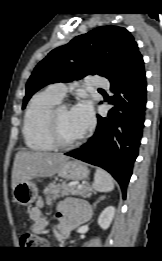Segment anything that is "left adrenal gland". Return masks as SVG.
<instances>
[{
    "label": "left adrenal gland",
    "mask_w": 162,
    "mask_h": 261,
    "mask_svg": "<svg viewBox=\"0 0 162 261\" xmlns=\"http://www.w3.org/2000/svg\"><path fill=\"white\" fill-rule=\"evenodd\" d=\"M105 198H106V196H100V197L96 200V202H94L93 208H94L100 201L104 200Z\"/></svg>",
    "instance_id": "left-adrenal-gland-1"
}]
</instances>
